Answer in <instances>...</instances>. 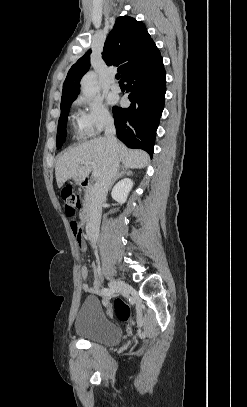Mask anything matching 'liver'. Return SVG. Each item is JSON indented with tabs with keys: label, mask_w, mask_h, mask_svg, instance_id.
Segmentation results:
<instances>
[{
	"label": "liver",
	"mask_w": 247,
	"mask_h": 407,
	"mask_svg": "<svg viewBox=\"0 0 247 407\" xmlns=\"http://www.w3.org/2000/svg\"><path fill=\"white\" fill-rule=\"evenodd\" d=\"M109 153L110 147L104 137L86 141L66 151L59 157L55 167L58 187L61 188L68 179L87 177L91 167L84 165L85 162H95L100 176L106 168ZM116 153L125 168H144L149 163L146 152L128 149L121 142H117Z\"/></svg>",
	"instance_id": "liver-1"
}]
</instances>
